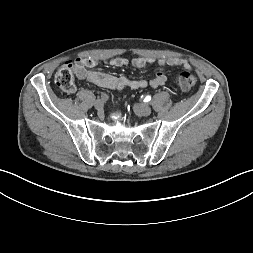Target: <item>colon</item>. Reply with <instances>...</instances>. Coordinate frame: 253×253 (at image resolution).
Returning a JSON list of instances; mask_svg holds the SVG:
<instances>
[{
  "mask_svg": "<svg viewBox=\"0 0 253 253\" xmlns=\"http://www.w3.org/2000/svg\"><path fill=\"white\" fill-rule=\"evenodd\" d=\"M76 70L77 67L72 62H66L58 69L55 75V82L61 90L68 93L75 91ZM175 81L182 90H189L196 84V77L192 73L184 71L175 77Z\"/></svg>",
  "mask_w": 253,
  "mask_h": 253,
  "instance_id": "1",
  "label": "colon"
}]
</instances>
